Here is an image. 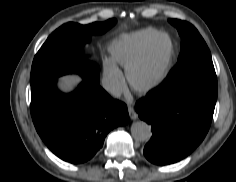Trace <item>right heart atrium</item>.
Wrapping results in <instances>:
<instances>
[{
	"instance_id": "1",
	"label": "right heart atrium",
	"mask_w": 236,
	"mask_h": 182,
	"mask_svg": "<svg viewBox=\"0 0 236 182\" xmlns=\"http://www.w3.org/2000/svg\"><path fill=\"white\" fill-rule=\"evenodd\" d=\"M103 82L108 90L118 93L124 85V77L120 69L111 61L103 64Z\"/></svg>"
}]
</instances>
